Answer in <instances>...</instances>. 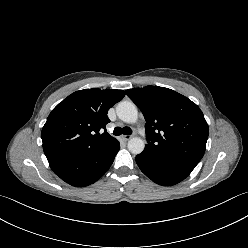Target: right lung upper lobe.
Here are the masks:
<instances>
[{"mask_svg":"<svg viewBox=\"0 0 248 248\" xmlns=\"http://www.w3.org/2000/svg\"><path fill=\"white\" fill-rule=\"evenodd\" d=\"M124 96L123 90L84 89L65 98L52 110L42 128L46 157L84 156L113 144L116 139L105 129L110 122L107 112Z\"/></svg>","mask_w":248,"mask_h":248,"instance_id":"1","label":"right lung upper lobe"}]
</instances>
